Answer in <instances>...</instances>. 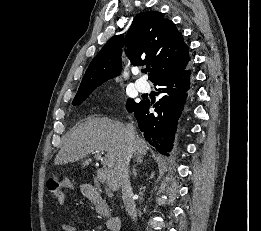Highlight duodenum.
I'll return each mask as SVG.
<instances>
[{
	"label": "duodenum",
	"instance_id": "410a0bca",
	"mask_svg": "<svg viewBox=\"0 0 261 231\" xmlns=\"http://www.w3.org/2000/svg\"><path fill=\"white\" fill-rule=\"evenodd\" d=\"M80 191L85 197H87L93 201L99 200L98 191L92 185H81ZM102 213L106 214V211H102ZM107 226L110 231H119L120 227H121L120 218L117 216H109Z\"/></svg>",
	"mask_w": 261,
	"mask_h": 231
}]
</instances>
